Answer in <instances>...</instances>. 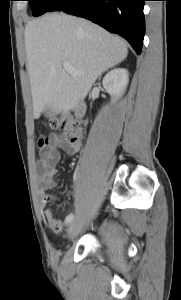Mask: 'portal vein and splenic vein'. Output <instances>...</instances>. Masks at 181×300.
<instances>
[{"label":"portal vein and splenic vein","mask_w":181,"mask_h":300,"mask_svg":"<svg viewBox=\"0 0 181 300\" xmlns=\"http://www.w3.org/2000/svg\"><path fill=\"white\" fill-rule=\"evenodd\" d=\"M64 70L69 73L71 76L75 77L79 75V72L69 63V62H64L63 63Z\"/></svg>","instance_id":"portal-vein-and-splenic-vein-1"}]
</instances>
